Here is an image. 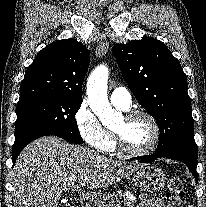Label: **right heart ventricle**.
Returning <instances> with one entry per match:
<instances>
[{"label": "right heart ventricle", "mask_w": 206, "mask_h": 207, "mask_svg": "<svg viewBox=\"0 0 206 207\" xmlns=\"http://www.w3.org/2000/svg\"><path fill=\"white\" fill-rule=\"evenodd\" d=\"M116 106V105H115ZM118 109H120V110H124V109H122L121 107H118V106H116ZM109 133V136H110V140H111V142H110V147H109V151H113V150H115V148H116V142H115V137H114V135H113V133H111V132H108Z\"/></svg>", "instance_id": "1"}]
</instances>
